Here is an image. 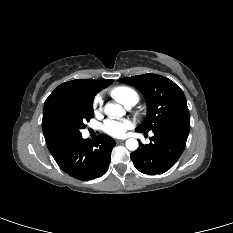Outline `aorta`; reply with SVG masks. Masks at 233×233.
Instances as JSON below:
<instances>
[{
	"instance_id": "762f6f07",
	"label": "aorta",
	"mask_w": 233,
	"mask_h": 233,
	"mask_svg": "<svg viewBox=\"0 0 233 233\" xmlns=\"http://www.w3.org/2000/svg\"><path fill=\"white\" fill-rule=\"evenodd\" d=\"M104 113L109 117H121L125 114V110L119 104L107 103L104 107ZM139 143L134 138H129L126 141V148L130 151L138 149Z\"/></svg>"
}]
</instances>
